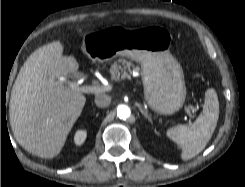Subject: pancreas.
Masks as SVG:
<instances>
[{"label":"pancreas","instance_id":"obj_1","mask_svg":"<svg viewBox=\"0 0 245 187\" xmlns=\"http://www.w3.org/2000/svg\"><path fill=\"white\" fill-rule=\"evenodd\" d=\"M126 70L131 72H139L140 68L136 65H134L130 61H126L124 59H119L118 61H115L110 68V74L112 80L120 81L121 79H124V75L126 74Z\"/></svg>","mask_w":245,"mask_h":187}]
</instances>
